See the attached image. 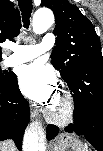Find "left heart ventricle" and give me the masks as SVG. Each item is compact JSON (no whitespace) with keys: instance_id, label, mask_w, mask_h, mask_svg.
<instances>
[{"instance_id":"b2bd125f","label":"left heart ventricle","mask_w":103,"mask_h":151,"mask_svg":"<svg viewBox=\"0 0 103 151\" xmlns=\"http://www.w3.org/2000/svg\"><path fill=\"white\" fill-rule=\"evenodd\" d=\"M51 106L58 109L60 107V100L59 98L56 96L54 101L51 103Z\"/></svg>"}]
</instances>
